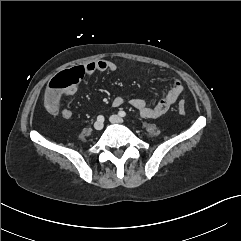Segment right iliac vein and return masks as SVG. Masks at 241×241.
Segmentation results:
<instances>
[{
  "label": "right iliac vein",
  "instance_id": "right-iliac-vein-1",
  "mask_svg": "<svg viewBox=\"0 0 241 241\" xmlns=\"http://www.w3.org/2000/svg\"><path fill=\"white\" fill-rule=\"evenodd\" d=\"M103 126H104V124H103V122H101V121H96V122L94 123V128H95V130H97V131L101 130V129L103 128Z\"/></svg>",
  "mask_w": 241,
  "mask_h": 241
}]
</instances>
